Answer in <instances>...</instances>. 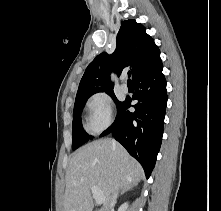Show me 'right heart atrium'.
Segmentation results:
<instances>
[{
	"label": "right heart atrium",
	"instance_id": "1",
	"mask_svg": "<svg viewBox=\"0 0 221 211\" xmlns=\"http://www.w3.org/2000/svg\"><path fill=\"white\" fill-rule=\"evenodd\" d=\"M87 128L93 133L105 130L113 120V104L105 92H96L86 102Z\"/></svg>",
	"mask_w": 221,
	"mask_h": 211
}]
</instances>
